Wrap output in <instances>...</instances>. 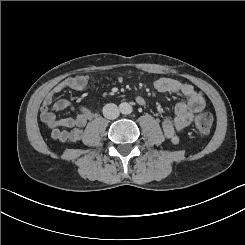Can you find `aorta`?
Segmentation results:
<instances>
[{"mask_svg": "<svg viewBox=\"0 0 245 245\" xmlns=\"http://www.w3.org/2000/svg\"><path fill=\"white\" fill-rule=\"evenodd\" d=\"M119 108H120L121 113L123 114H128L131 111V106L127 102H122L119 105Z\"/></svg>", "mask_w": 245, "mask_h": 245, "instance_id": "762f6f07", "label": "aorta"}]
</instances>
